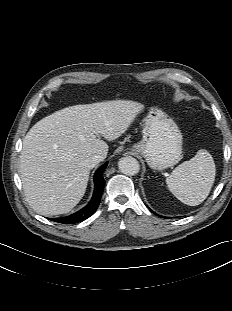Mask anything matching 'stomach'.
Here are the masks:
<instances>
[{
    "mask_svg": "<svg viewBox=\"0 0 232 311\" xmlns=\"http://www.w3.org/2000/svg\"><path fill=\"white\" fill-rule=\"evenodd\" d=\"M182 133L161 109L153 107L144 119L142 140L131 147L142 155L150 168L164 170L182 158Z\"/></svg>",
    "mask_w": 232,
    "mask_h": 311,
    "instance_id": "0dacf381",
    "label": "stomach"
}]
</instances>
